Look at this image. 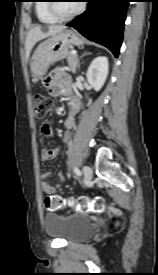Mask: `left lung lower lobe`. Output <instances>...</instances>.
<instances>
[{
	"label": "left lung lower lobe",
	"mask_w": 158,
	"mask_h": 275,
	"mask_svg": "<svg viewBox=\"0 0 158 275\" xmlns=\"http://www.w3.org/2000/svg\"><path fill=\"white\" fill-rule=\"evenodd\" d=\"M129 0H89L88 9L67 26L99 43L118 56L123 39V27Z\"/></svg>",
	"instance_id": "left-lung-lower-lobe-1"
}]
</instances>
